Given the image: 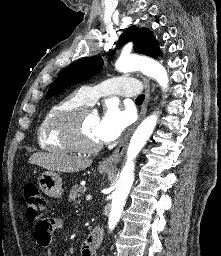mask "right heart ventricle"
Wrapping results in <instances>:
<instances>
[{"instance_id":"obj_1","label":"right heart ventricle","mask_w":221,"mask_h":256,"mask_svg":"<svg viewBox=\"0 0 221 256\" xmlns=\"http://www.w3.org/2000/svg\"><path fill=\"white\" fill-rule=\"evenodd\" d=\"M87 105L88 103L80 91L72 92L52 104L46 111L37 130L39 146L49 152L68 153L73 151L69 143L63 138L61 127L73 111Z\"/></svg>"}]
</instances>
